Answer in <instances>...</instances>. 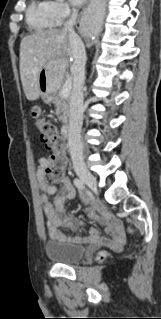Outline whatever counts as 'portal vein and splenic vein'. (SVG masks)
<instances>
[{
    "label": "portal vein and splenic vein",
    "mask_w": 161,
    "mask_h": 319,
    "mask_svg": "<svg viewBox=\"0 0 161 319\" xmlns=\"http://www.w3.org/2000/svg\"><path fill=\"white\" fill-rule=\"evenodd\" d=\"M71 87H72L71 81L70 80L66 81L61 90L62 97H67L70 94Z\"/></svg>",
    "instance_id": "1"
}]
</instances>
